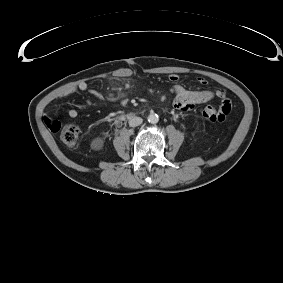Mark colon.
<instances>
[{
	"label": "colon",
	"instance_id": "obj_1",
	"mask_svg": "<svg viewBox=\"0 0 283 283\" xmlns=\"http://www.w3.org/2000/svg\"><path fill=\"white\" fill-rule=\"evenodd\" d=\"M231 111V103L225 101L220 107L206 106L203 110V116L210 122H223ZM47 127L52 132H59L61 141L69 147H74L78 143L80 130L75 125H62L60 122L45 116Z\"/></svg>",
	"mask_w": 283,
	"mask_h": 283
}]
</instances>
